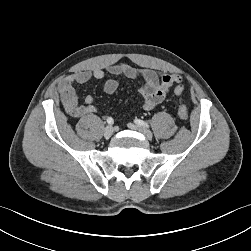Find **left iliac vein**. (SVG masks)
<instances>
[{
  "label": "left iliac vein",
  "instance_id": "left-iliac-vein-1",
  "mask_svg": "<svg viewBox=\"0 0 251 251\" xmlns=\"http://www.w3.org/2000/svg\"><path fill=\"white\" fill-rule=\"evenodd\" d=\"M128 127L132 130L141 132L148 140H152L153 138L152 132L145 127L138 126L133 123H128Z\"/></svg>",
  "mask_w": 251,
  "mask_h": 251
}]
</instances>
